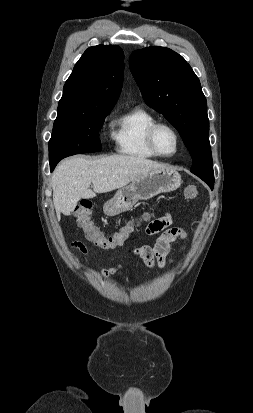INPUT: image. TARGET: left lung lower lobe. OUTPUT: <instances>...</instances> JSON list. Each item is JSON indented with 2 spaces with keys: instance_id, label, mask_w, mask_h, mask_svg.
<instances>
[{
  "instance_id": "left-lung-lower-lobe-1",
  "label": "left lung lower lobe",
  "mask_w": 253,
  "mask_h": 413,
  "mask_svg": "<svg viewBox=\"0 0 253 413\" xmlns=\"http://www.w3.org/2000/svg\"><path fill=\"white\" fill-rule=\"evenodd\" d=\"M201 179H202L203 181H205V182L209 185V187H210L211 189H213V186H214V178L201 177Z\"/></svg>"
}]
</instances>
